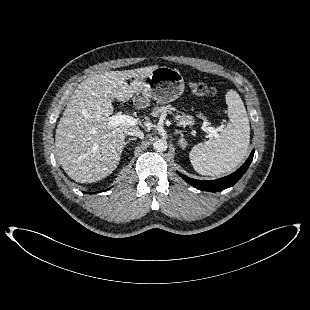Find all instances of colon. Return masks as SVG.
Returning <instances> with one entry per match:
<instances>
[{
	"label": "colon",
	"mask_w": 310,
	"mask_h": 310,
	"mask_svg": "<svg viewBox=\"0 0 310 310\" xmlns=\"http://www.w3.org/2000/svg\"><path fill=\"white\" fill-rule=\"evenodd\" d=\"M189 88L191 93L198 97H214L217 94L214 88H210L203 83L191 82Z\"/></svg>",
	"instance_id": "1"
}]
</instances>
